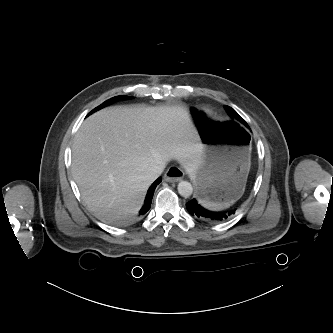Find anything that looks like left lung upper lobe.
Listing matches in <instances>:
<instances>
[{
    "label": "left lung upper lobe",
    "mask_w": 333,
    "mask_h": 333,
    "mask_svg": "<svg viewBox=\"0 0 333 333\" xmlns=\"http://www.w3.org/2000/svg\"><path fill=\"white\" fill-rule=\"evenodd\" d=\"M225 109L234 122L248 127V124L245 122V120L234 109L229 106H225Z\"/></svg>",
    "instance_id": "1"
}]
</instances>
